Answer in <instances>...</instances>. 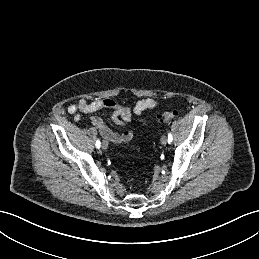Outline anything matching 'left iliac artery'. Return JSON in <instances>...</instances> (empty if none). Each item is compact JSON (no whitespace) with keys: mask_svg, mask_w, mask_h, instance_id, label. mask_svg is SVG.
Returning a JSON list of instances; mask_svg holds the SVG:
<instances>
[{"mask_svg":"<svg viewBox=\"0 0 259 259\" xmlns=\"http://www.w3.org/2000/svg\"><path fill=\"white\" fill-rule=\"evenodd\" d=\"M173 140L172 134L168 133V143L170 144Z\"/></svg>","mask_w":259,"mask_h":259,"instance_id":"obj_1","label":"left iliac artery"}]
</instances>
